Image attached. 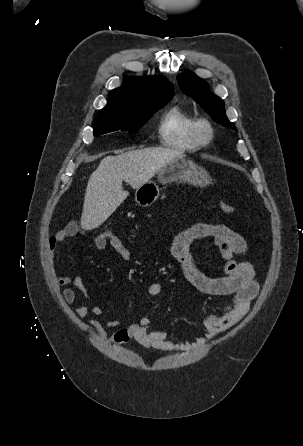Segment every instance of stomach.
Listing matches in <instances>:
<instances>
[{
  "instance_id": "1",
  "label": "stomach",
  "mask_w": 303,
  "mask_h": 446,
  "mask_svg": "<svg viewBox=\"0 0 303 446\" xmlns=\"http://www.w3.org/2000/svg\"><path fill=\"white\" fill-rule=\"evenodd\" d=\"M159 183L185 182L194 186L205 187L209 184V174L194 162L184 157L176 158L157 172ZM160 190L153 181H148L135 192V201L139 206L148 207L159 197Z\"/></svg>"
}]
</instances>
